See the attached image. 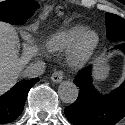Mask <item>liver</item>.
<instances>
[{"label":"liver","mask_w":125,"mask_h":125,"mask_svg":"<svg viewBox=\"0 0 125 125\" xmlns=\"http://www.w3.org/2000/svg\"><path fill=\"white\" fill-rule=\"evenodd\" d=\"M21 35L25 43L19 55L15 28L0 22V95L16 83L23 68L37 55V48L32 46L30 35L23 32Z\"/></svg>","instance_id":"1"}]
</instances>
